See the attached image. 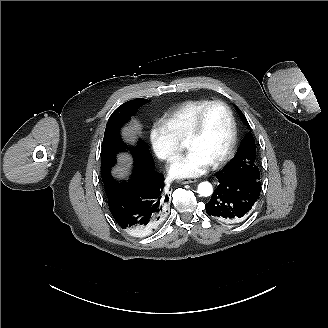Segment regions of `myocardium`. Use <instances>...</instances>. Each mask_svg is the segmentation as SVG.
I'll list each match as a JSON object with an SVG mask.
<instances>
[{"mask_svg":"<svg viewBox=\"0 0 328 328\" xmlns=\"http://www.w3.org/2000/svg\"><path fill=\"white\" fill-rule=\"evenodd\" d=\"M218 106L225 108L229 114L231 124H232V137H231L230 143H229L228 148L225 151V153L219 159H217L216 161L211 163V166L214 168L220 167L223 164H225L226 162H228L234 155L237 144H238L239 132H238L237 119H236L233 108L227 102L221 101V100H215V101L209 102L205 107H203L199 111L197 116L195 117V120H194L193 124L191 125V127L189 128L188 132L186 133L185 139L183 141V143L185 145L186 142L195 138L200 133L208 112L212 108L218 107Z\"/></svg>","mask_w":328,"mask_h":328,"instance_id":"f54148a6","label":"myocardium"}]
</instances>
